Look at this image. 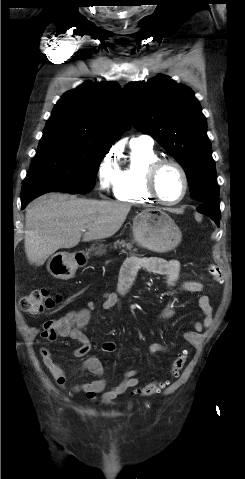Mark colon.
Masks as SVG:
<instances>
[{
  "label": "colon",
  "mask_w": 245,
  "mask_h": 479,
  "mask_svg": "<svg viewBox=\"0 0 245 479\" xmlns=\"http://www.w3.org/2000/svg\"><path fill=\"white\" fill-rule=\"evenodd\" d=\"M208 271L214 278H218L220 275V269L216 265H210L208 267ZM59 301L60 297L58 295H53L49 290L40 288L35 289L23 297L20 307L25 313L38 315L46 310L52 309ZM63 328V325H60L56 320L47 321L44 324L42 336L45 339L53 340L58 336H61ZM187 358L188 352L186 350H181L176 355L169 370V376L171 378H176L179 376L181 370L184 368L187 362ZM169 384L170 379L157 380L136 389L134 394L140 396H154L159 394L162 390L169 386Z\"/></svg>",
  "instance_id": "5ec220e1"
}]
</instances>
